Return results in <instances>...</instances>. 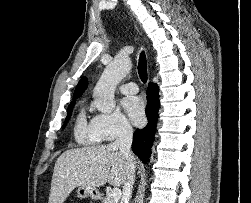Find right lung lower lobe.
Wrapping results in <instances>:
<instances>
[{
	"mask_svg": "<svg viewBox=\"0 0 251 203\" xmlns=\"http://www.w3.org/2000/svg\"><path fill=\"white\" fill-rule=\"evenodd\" d=\"M146 115L148 124L145 128L137 129L133 135L132 150L146 163L151 155L152 142L156 131L159 110V88L156 83L150 82L147 88Z\"/></svg>",
	"mask_w": 251,
	"mask_h": 203,
	"instance_id": "98d812e1",
	"label": "right lung lower lobe"
}]
</instances>
